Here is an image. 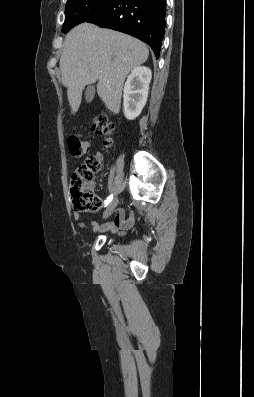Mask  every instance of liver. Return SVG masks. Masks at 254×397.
I'll list each match as a JSON object with an SVG mask.
<instances>
[{"label":"liver","instance_id":"liver-1","mask_svg":"<svg viewBox=\"0 0 254 397\" xmlns=\"http://www.w3.org/2000/svg\"><path fill=\"white\" fill-rule=\"evenodd\" d=\"M148 55L144 43L124 33L90 23L74 27L65 37L59 62L72 113L79 109L84 87L96 81L106 107L119 113L126 76Z\"/></svg>","mask_w":254,"mask_h":397}]
</instances>
